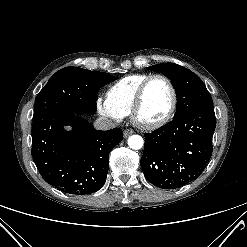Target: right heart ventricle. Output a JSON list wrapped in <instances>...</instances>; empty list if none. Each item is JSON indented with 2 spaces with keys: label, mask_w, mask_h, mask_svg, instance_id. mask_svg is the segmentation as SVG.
Masks as SVG:
<instances>
[{
  "label": "right heart ventricle",
  "mask_w": 247,
  "mask_h": 247,
  "mask_svg": "<svg viewBox=\"0 0 247 247\" xmlns=\"http://www.w3.org/2000/svg\"><path fill=\"white\" fill-rule=\"evenodd\" d=\"M150 75L148 73L131 74L121 78L110 86L106 94V99L122 117L130 114L138 88Z\"/></svg>",
  "instance_id": "obj_1"
}]
</instances>
